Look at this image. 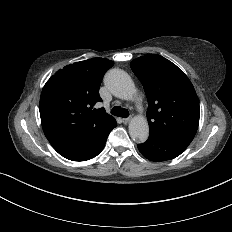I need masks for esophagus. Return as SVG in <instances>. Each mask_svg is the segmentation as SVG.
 Returning <instances> with one entry per match:
<instances>
[{
  "label": "esophagus",
  "instance_id": "esophagus-1",
  "mask_svg": "<svg viewBox=\"0 0 232 232\" xmlns=\"http://www.w3.org/2000/svg\"><path fill=\"white\" fill-rule=\"evenodd\" d=\"M122 121L124 124H127L130 121V118H124Z\"/></svg>",
  "mask_w": 232,
  "mask_h": 232
}]
</instances>
